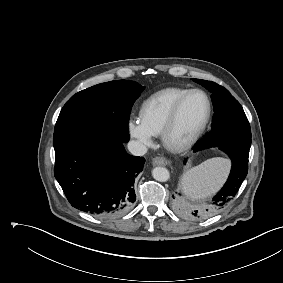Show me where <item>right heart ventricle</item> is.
I'll return each mask as SVG.
<instances>
[{
    "label": "right heart ventricle",
    "mask_w": 283,
    "mask_h": 283,
    "mask_svg": "<svg viewBox=\"0 0 283 283\" xmlns=\"http://www.w3.org/2000/svg\"><path fill=\"white\" fill-rule=\"evenodd\" d=\"M187 90L179 87L165 88L143 102L140 121L151 135L161 134L174 104Z\"/></svg>",
    "instance_id": "e07e8e85"
}]
</instances>
